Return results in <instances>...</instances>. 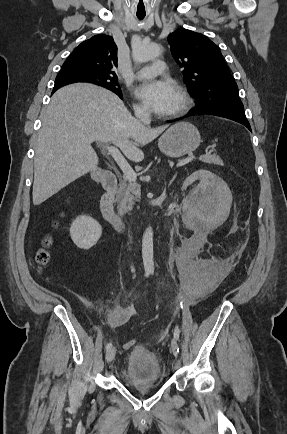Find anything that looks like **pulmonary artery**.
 I'll use <instances>...</instances> for the list:
<instances>
[{
  "mask_svg": "<svg viewBox=\"0 0 287 434\" xmlns=\"http://www.w3.org/2000/svg\"><path fill=\"white\" fill-rule=\"evenodd\" d=\"M166 70V65L164 61L156 60L153 61L151 65L143 67L136 73L137 79H147L154 77L156 75L164 74Z\"/></svg>",
  "mask_w": 287,
  "mask_h": 434,
  "instance_id": "1",
  "label": "pulmonary artery"
}]
</instances>
